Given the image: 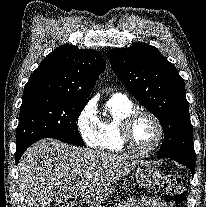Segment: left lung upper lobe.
I'll list each match as a JSON object with an SVG mask.
<instances>
[{"label":"left lung upper lobe","instance_id":"obj_1","mask_svg":"<svg viewBox=\"0 0 206 207\" xmlns=\"http://www.w3.org/2000/svg\"><path fill=\"white\" fill-rule=\"evenodd\" d=\"M107 57L122 84L160 121L164 142L157 155L195 163L184 80L174 65L145 43L112 49Z\"/></svg>","mask_w":206,"mask_h":207}]
</instances>
